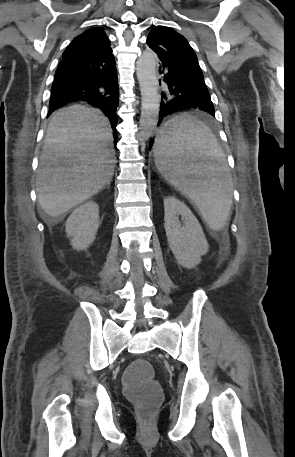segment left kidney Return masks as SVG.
Segmentation results:
<instances>
[{
    "mask_svg": "<svg viewBox=\"0 0 295 457\" xmlns=\"http://www.w3.org/2000/svg\"><path fill=\"white\" fill-rule=\"evenodd\" d=\"M164 227L177 262L188 269L201 262V256L209 250L208 242L197 218L191 210L175 197L164 199ZM184 222L181 226L178 216Z\"/></svg>",
    "mask_w": 295,
    "mask_h": 457,
    "instance_id": "obj_1",
    "label": "left kidney"
}]
</instances>
